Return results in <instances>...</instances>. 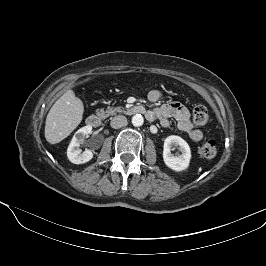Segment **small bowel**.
Here are the masks:
<instances>
[{
    "label": "small bowel",
    "instance_id": "c3829d8e",
    "mask_svg": "<svg viewBox=\"0 0 266 266\" xmlns=\"http://www.w3.org/2000/svg\"><path fill=\"white\" fill-rule=\"evenodd\" d=\"M149 101L156 103L162 98L159 90H151L147 94ZM146 117L150 121L159 120L162 127L170 126V119L177 121L179 130L188 134L194 142H199L203 138V132L194 127L188 109L179 102H169L160 107L147 111Z\"/></svg>",
    "mask_w": 266,
    "mask_h": 266
}]
</instances>
